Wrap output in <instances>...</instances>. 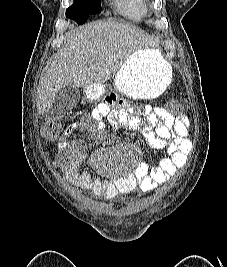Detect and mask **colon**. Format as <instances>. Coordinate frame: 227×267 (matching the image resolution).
Masks as SVG:
<instances>
[{"label": "colon", "instance_id": "obj_1", "mask_svg": "<svg viewBox=\"0 0 227 267\" xmlns=\"http://www.w3.org/2000/svg\"><path fill=\"white\" fill-rule=\"evenodd\" d=\"M167 111L171 114L180 113L182 108L180 104L174 100L166 101ZM40 133L47 140H61L63 136L62 116L58 114H50L44 118L40 125Z\"/></svg>", "mask_w": 227, "mask_h": 267}]
</instances>
